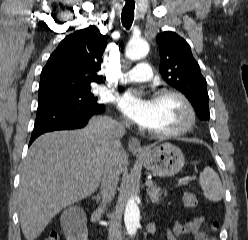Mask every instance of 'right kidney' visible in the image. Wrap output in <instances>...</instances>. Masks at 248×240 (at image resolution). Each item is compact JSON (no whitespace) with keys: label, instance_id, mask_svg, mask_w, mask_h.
Here are the masks:
<instances>
[{"label":"right kidney","instance_id":"ca27d5eb","mask_svg":"<svg viewBox=\"0 0 248 240\" xmlns=\"http://www.w3.org/2000/svg\"><path fill=\"white\" fill-rule=\"evenodd\" d=\"M67 240H88V231L85 225L74 228H64Z\"/></svg>","mask_w":248,"mask_h":240}]
</instances>
